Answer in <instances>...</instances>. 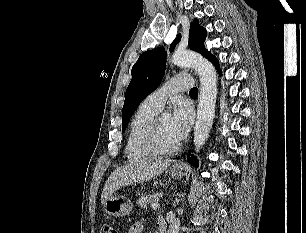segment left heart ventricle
<instances>
[{"mask_svg": "<svg viewBox=\"0 0 306 233\" xmlns=\"http://www.w3.org/2000/svg\"><path fill=\"white\" fill-rule=\"evenodd\" d=\"M158 139L162 147L172 148L177 142L172 137L169 130V118L160 117L158 122Z\"/></svg>", "mask_w": 306, "mask_h": 233, "instance_id": "obj_1", "label": "left heart ventricle"}]
</instances>
